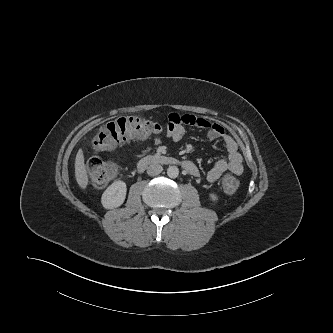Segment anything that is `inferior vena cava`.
I'll list each match as a JSON object with an SVG mask.
<instances>
[{
  "label": "inferior vena cava",
  "mask_w": 333,
  "mask_h": 333,
  "mask_svg": "<svg viewBox=\"0 0 333 333\" xmlns=\"http://www.w3.org/2000/svg\"><path fill=\"white\" fill-rule=\"evenodd\" d=\"M162 171H163V167L159 164H151L147 168V174L149 176H156V175L160 174Z\"/></svg>",
  "instance_id": "1"
}]
</instances>
